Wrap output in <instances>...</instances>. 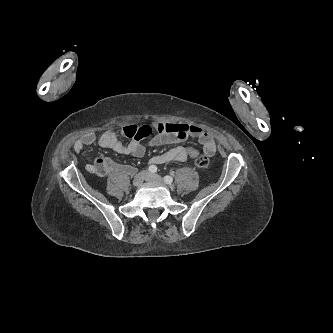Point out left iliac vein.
<instances>
[{
	"mask_svg": "<svg viewBox=\"0 0 333 333\" xmlns=\"http://www.w3.org/2000/svg\"><path fill=\"white\" fill-rule=\"evenodd\" d=\"M146 181L155 182V183H163V179L161 176H159L157 174H151V173H147Z\"/></svg>",
	"mask_w": 333,
	"mask_h": 333,
	"instance_id": "left-iliac-vein-1",
	"label": "left iliac vein"
}]
</instances>
